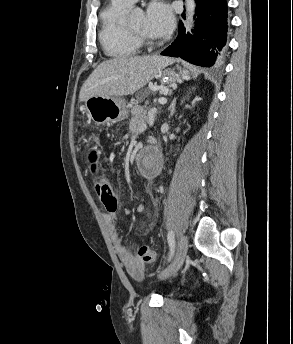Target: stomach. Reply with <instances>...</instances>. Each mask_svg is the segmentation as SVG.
I'll return each instance as SVG.
<instances>
[{
  "mask_svg": "<svg viewBox=\"0 0 293 344\" xmlns=\"http://www.w3.org/2000/svg\"><path fill=\"white\" fill-rule=\"evenodd\" d=\"M159 77L161 83L170 84L189 79V72L181 68L178 72L165 69L159 72ZM85 108L88 116L97 125L120 122L128 117L127 107L120 97L93 96L85 101Z\"/></svg>",
  "mask_w": 293,
  "mask_h": 344,
  "instance_id": "stomach-1",
  "label": "stomach"
}]
</instances>
